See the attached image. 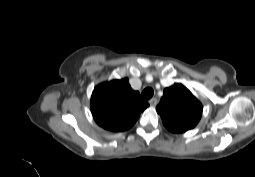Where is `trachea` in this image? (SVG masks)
<instances>
[{
	"instance_id": "3493384b",
	"label": "trachea",
	"mask_w": 255,
	"mask_h": 177,
	"mask_svg": "<svg viewBox=\"0 0 255 177\" xmlns=\"http://www.w3.org/2000/svg\"><path fill=\"white\" fill-rule=\"evenodd\" d=\"M154 94V91L152 88L148 87L144 89L141 93V97L143 100H149Z\"/></svg>"
}]
</instances>
